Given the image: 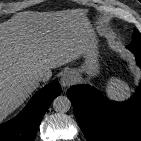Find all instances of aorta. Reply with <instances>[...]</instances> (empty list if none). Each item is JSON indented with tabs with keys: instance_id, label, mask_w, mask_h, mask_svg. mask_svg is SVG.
<instances>
[{
	"instance_id": "1",
	"label": "aorta",
	"mask_w": 141,
	"mask_h": 141,
	"mask_svg": "<svg viewBox=\"0 0 141 141\" xmlns=\"http://www.w3.org/2000/svg\"><path fill=\"white\" fill-rule=\"evenodd\" d=\"M53 108L56 112L65 113L71 108V102L66 96H58L53 101Z\"/></svg>"
}]
</instances>
